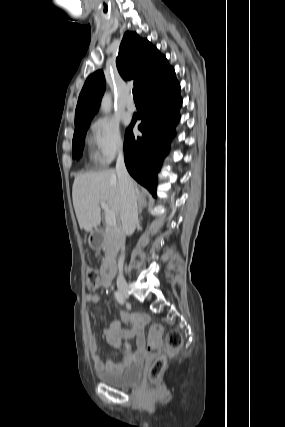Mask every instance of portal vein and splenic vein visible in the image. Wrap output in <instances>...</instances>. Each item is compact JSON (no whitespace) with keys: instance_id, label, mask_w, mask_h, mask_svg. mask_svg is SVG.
<instances>
[{"instance_id":"portal-vein-and-splenic-vein-1","label":"portal vein and splenic vein","mask_w":285,"mask_h":427,"mask_svg":"<svg viewBox=\"0 0 285 427\" xmlns=\"http://www.w3.org/2000/svg\"><path fill=\"white\" fill-rule=\"evenodd\" d=\"M101 207L105 211V221L108 226H116V214L114 211L110 210L107 204L103 201L100 202Z\"/></svg>"}]
</instances>
